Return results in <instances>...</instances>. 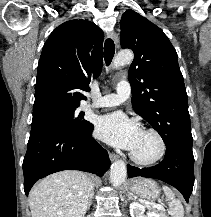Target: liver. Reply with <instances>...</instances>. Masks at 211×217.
<instances>
[{
    "mask_svg": "<svg viewBox=\"0 0 211 217\" xmlns=\"http://www.w3.org/2000/svg\"><path fill=\"white\" fill-rule=\"evenodd\" d=\"M93 188L91 178L83 172L52 174L29 193L32 217H84Z\"/></svg>",
    "mask_w": 211,
    "mask_h": 217,
    "instance_id": "liver-1",
    "label": "liver"
}]
</instances>
